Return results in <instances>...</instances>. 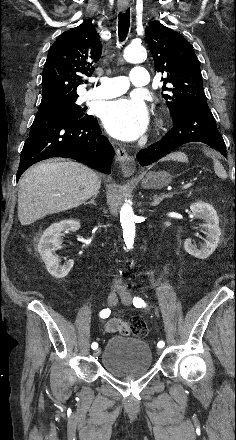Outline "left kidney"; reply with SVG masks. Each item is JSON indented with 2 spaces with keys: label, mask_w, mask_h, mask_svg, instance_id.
<instances>
[{
  "label": "left kidney",
  "mask_w": 236,
  "mask_h": 440,
  "mask_svg": "<svg viewBox=\"0 0 236 440\" xmlns=\"http://www.w3.org/2000/svg\"><path fill=\"white\" fill-rule=\"evenodd\" d=\"M190 209L196 218L202 219L205 222L202 224V227L205 230L206 239L200 249L192 243L191 239H186L184 248L187 253L196 258L207 259L217 248L221 237L217 212L213 206L202 201L192 203Z\"/></svg>",
  "instance_id": "obj_1"
}]
</instances>
